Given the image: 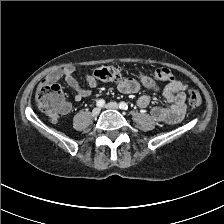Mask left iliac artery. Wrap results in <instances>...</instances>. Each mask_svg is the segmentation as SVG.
<instances>
[{
  "label": "left iliac artery",
  "instance_id": "obj_1",
  "mask_svg": "<svg viewBox=\"0 0 224 224\" xmlns=\"http://www.w3.org/2000/svg\"><path fill=\"white\" fill-rule=\"evenodd\" d=\"M119 108H121L123 110H128V105L125 102H120Z\"/></svg>",
  "mask_w": 224,
  "mask_h": 224
}]
</instances>
